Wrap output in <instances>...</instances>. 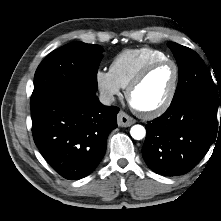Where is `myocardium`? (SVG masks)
Masks as SVG:
<instances>
[{"mask_svg":"<svg viewBox=\"0 0 221 221\" xmlns=\"http://www.w3.org/2000/svg\"><path fill=\"white\" fill-rule=\"evenodd\" d=\"M164 64H170L172 65L174 69V78L173 82L171 85V88L165 97V99L155 108L150 109V110H142L134 106L132 103V94L135 91V89L145 80V78L149 75V73L155 69L158 66L164 65ZM179 77H180V72H179V67L176 64L175 61L165 58V59H160V60H155L152 61L148 64H146L137 74L136 76L131 80V82L128 84L126 87V98L130 105L143 117L145 118H154L162 115L164 112L168 110V108L171 106L177 89H178V84H179Z\"/></svg>","mask_w":221,"mask_h":221,"instance_id":"obj_1","label":"myocardium"}]
</instances>
